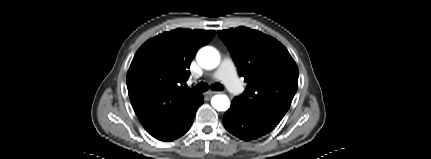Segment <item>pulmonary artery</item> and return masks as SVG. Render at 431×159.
<instances>
[{
	"mask_svg": "<svg viewBox=\"0 0 431 159\" xmlns=\"http://www.w3.org/2000/svg\"><path fill=\"white\" fill-rule=\"evenodd\" d=\"M211 77L222 81L227 89L234 94H240L243 91V86L237 77L234 62L230 58H224Z\"/></svg>",
	"mask_w": 431,
	"mask_h": 159,
	"instance_id": "obj_1",
	"label": "pulmonary artery"
}]
</instances>
